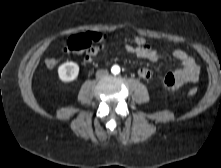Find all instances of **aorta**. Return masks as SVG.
Returning <instances> with one entry per match:
<instances>
[{
    "mask_svg": "<svg viewBox=\"0 0 221 168\" xmlns=\"http://www.w3.org/2000/svg\"><path fill=\"white\" fill-rule=\"evenodd\" d=\"M111 72H112L113 74H118V73L120 72V67L117 66V65H114V66L112 67V69H111Z\"/></svg>",
    "mask_w": 221,
    "mask_h": 168,
    "instance_id": "1",
    "label": "aorta"
}]
</instances>
